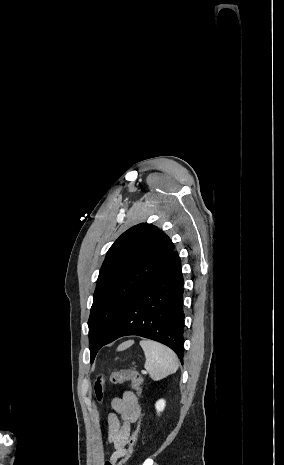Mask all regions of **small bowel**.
<instances>
[{"label": "small bowel", "instance_id": "small-bowel-1", "mask_svg": "<svg viewBox=\"0 0 284 465\" xmlns=\"http://www.w3.org/2000/svg\"><path fill=\"white\" fill-rule=\"evenodd\" d=\"M111 405L115 413L108 415L107 439L113 445L115 452L103 465H115L119 457L126 455L128 438L141 416L137 397L130 391L125 392L121 398L113 399Z\"/></svg>", "mask_w": 284, "mask_h": 465}]
</instances>
